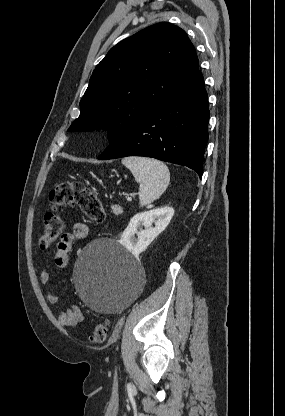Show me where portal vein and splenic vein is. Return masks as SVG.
<instances>
[{
    "instance_id": "18ae733b",
    "label": "portal vein and splenic vein",
    "mask_w": 285,
    "mask_h": 416,
    "mask_svg": "<svg viewBox=\"0 0 285 416\" xmlns=\"http://www.w3.org/2000/svg\"><path fill=\"white\" fill-rule=\"evenodd\" d=\"M131 196H136V194H131ZM128 202H131L132 198H127Z\"/></svg>"
}]
</instances>
